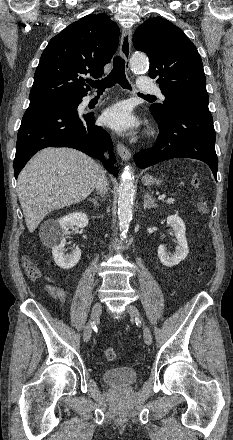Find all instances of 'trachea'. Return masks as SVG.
<instances>
[{"mask_svg":"<svg viewBox=\"0 0 233 440\" xmlns=\"http://www.w3.org/2000/svg\"><path fill=\"white\" fill-rule=\"evenodd\" d=\"M116 83L123 88L131 89L125 75V61L120 56L114 58L113 69L106 78L102 80L88 81V84L91 87L97 88L98 91H104L106 88H111ZM140 95L143 96L142 94ZM145 97L155 98V96L152 95H146Z\"/></svg>","mask_w":233,"mask_h":440,"instance_id":"trachea-1","label":"trachea"}]
</instances>
